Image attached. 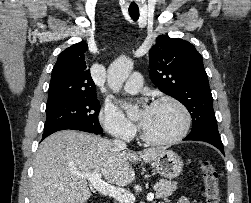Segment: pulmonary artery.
<instances>
[{
  "label": "pulmonary artery",
  "mask_w": 251,
  "mask_h": 203,
  "mask_svg": "<svg viewBox=\"0 0 251 203\" xmlns=\"http://www.w3.org/2000/svg\"><path fill=\"white\" fill-rule=\"evenodd\" d=\"M142 84H143L142 75L139 73H134L128 78L123 88L127 93L133 94L140 91Z\"/></svg>",
  "instance_id": "e3ab8cb5"
}]
</instances>
